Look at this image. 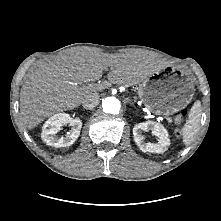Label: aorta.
Masks as SVG:
<instances>
[{
	"label": "aorta",
	"instance_id": "762f6f07",
	"mask_svg": "<svg viewBox=\"0 0 221 221\" xmlns=\"http://www.w3.org/2000/svg\"><path fill=\"white\" fill-rule=\"evenodd\" d=\"M103 111L110 114H118L120 111V101L115 97H107L102 101Z\"/></svg>",
	"mask_w": 221,
	"mask_h": 221
}]
</instances>
